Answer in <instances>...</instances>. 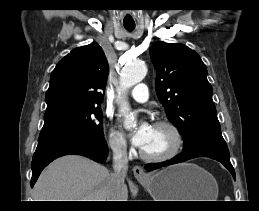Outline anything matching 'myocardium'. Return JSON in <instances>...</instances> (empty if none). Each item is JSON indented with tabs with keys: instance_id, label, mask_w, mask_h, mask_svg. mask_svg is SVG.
Returning a JSON list of instances; mask_svg holds the SVG:
<instances>
[{
	"instance_id": "f54148a6",
	"label": "myocardium",
	"mask_w": 259,
	"mask_h": 211,
	"mask_svg": "<svg viewBox=\"0 0 259 211\" xmlns=\"http://www.w3.org/2000/svg\"><path fill=\"white\" fill-rule=\"evenodd\" d=\"M153 126L158 128H165L166 130H168L171 135V146L164 153L156 155L148 154L140 149L139 154L141 158L149 162H163L172 159L179 153L183 144V138L179 128L174 123L168 120L157 121L154 123Z\"/></svg>"
}]
</instances>
